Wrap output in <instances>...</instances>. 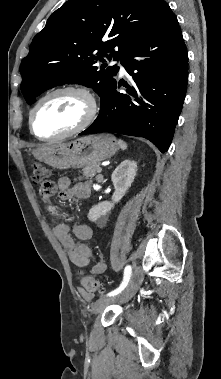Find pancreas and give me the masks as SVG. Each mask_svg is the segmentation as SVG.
<instances>
[{
    "label": "pancreas",
    "mask_w": 221,
    "mask_h": 379,
    "mask_svg": "<svg viewBox=\"0 0 221 379\" xmlns=\"http://www.w3.org/2000/svg\"><path fill=\"white\" fill-rule=\"evenodd\" d=\"M99 168V165H94V166H86L83 169V174L86 177L93 178L97 172V169Z\"/></svg>",
    "instance_id": "cf45deb5"
}]
</instances>
